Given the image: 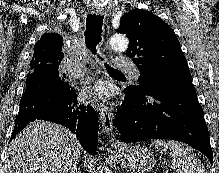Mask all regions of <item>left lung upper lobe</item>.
<instances>
[{
  "instance_id": "1",
  "label": "left lung upper lobe",
  "mask_w": 219,
  "mask_h": 173,
  "mask_svg": "<svg viewBox=\"0 0 219 173\" xmlns=\"http://www.w3.org/2000/svg\"><path fill=\"white\" fill-rule=\"evenodd\" d=\"M117 31L128 36L126 55L140 71L139 86L127 87L131 92L147 95L193 87L180 43L159 17L146 10H131L121 18Z\"/></svg>"
}]
</instances>
